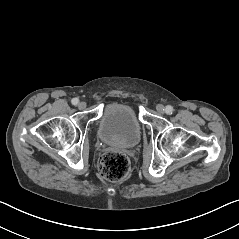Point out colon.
<instances>
[{"mask_svg": "<svg viewBox=\"0 0 239 239\" xmlns=\"http://www.w3.org/2000/svg\"><path fill=\"white\" fill-rule=\"evenodd\" d=\"M99 170L104 178L110 181H120L127 176L130 170L129 158L120 152H107L100 158Z\"/></svg>", "mask_w": 239, "mask_h": 239, "instance_id": "1", "label": "colon"}]
</instances>
